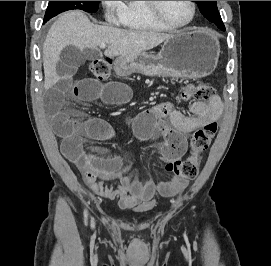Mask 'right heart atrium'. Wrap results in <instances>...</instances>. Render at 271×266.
Masks as SVG:
<instances>
[{"instance_id": "d8ad5b80", "label": "right heart atrium", "mask_w": 271, "mask_h": 266, "mask_svg": "<svg viewBox=\"0 0 271 266\" xmlns=\"http://www.w3.org/2000/svg\"><path fill=\"white\" fill-rule=\"evenodd\" d=\"M104 8L105 17L113 22L117 23L120 20V14L123 9V1H101Z\"/></svg>"}]
</instances>
